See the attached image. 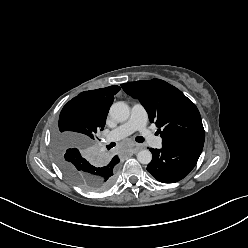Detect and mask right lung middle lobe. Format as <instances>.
<instances>
[{"label": "right lung middle lobe", "mask_w": 248, "mask_h": 248, "mask_svg": "<svg viewBox=\"0 0 248 248\" xmlns=\"http://www.w3.org/2000/svg\"><path fill=\"white\" fill-rule=\"evenodd\" d=\"M105 120L92 115L81 99L73 98L62 109L55 131V149L62 171L88 191H101L114 181L117 162L92 152L91 146L105 126ZM69 145L77 148L67 149ZM65 154V155H64ZM68 154L72 156L69 157Z\"/></svg>", "instance_id": "1"}]
</instances>
